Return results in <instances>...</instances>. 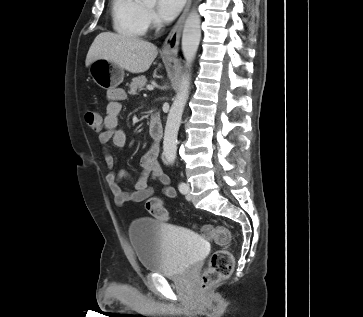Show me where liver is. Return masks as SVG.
Segmentation results:
<instances>
[{"label":"liver","instance_id":"6515ba94","mask_svg":"<svg viewBox=\"0 0 363 317\" xmlns=\"http://www.w3.org/2000/svg\"><path fill=\"white\" fill-rule=\"evenodd\" d=\"M158 54L157 47L133 36L102 32L89 48L85 65L105 59L131 73L147 71Z\"/></svg>","mask_w":363,"mask_h":317}]
</instances>
